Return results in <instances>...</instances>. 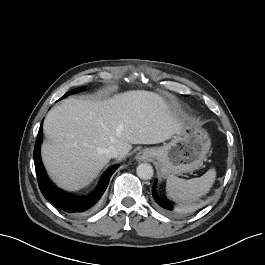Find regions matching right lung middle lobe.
<instances>
[{"label": "right lung middle lobe", "mask_w": 265, "mask_h": 265, "mask_svg": "<svg viewBox=\"0 0 265 265\" xmlns=\"http://www.w3.org/2000/svg\"><path fill=\"white\" fill-rule=\"evenodd\" d=\"M84 89V87H81V88H77V89H73V90H70L69 92H67L61 99L71 95V94H75V93H78V92H81L82 90Z\"/></svg>", "instance_id": "dd1d6c3e"}]
</instances>
